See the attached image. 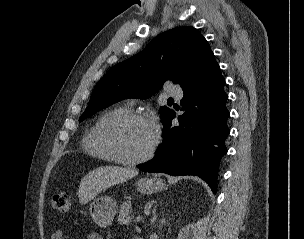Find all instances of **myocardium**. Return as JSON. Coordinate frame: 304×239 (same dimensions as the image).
I'll return each mask as SVG.
<instances>
[{"instance_id":"1","label":"myocardium","mask_w":304,"mask_h":239,"mask_svg":"<svg viewBox=\"0 0 304 239\" xmlns=\"http://www.w3.org/2000/svg\"><path fill=\"white\" fill-rule=\"evenodd\" d=\"M134 121L150 123L149 119L144 114L129 111L122 113L111 119L102 130V134H101L102 141L105 147L107 148V150L112 155L113 161L123 165H138L148 161L153 156L159 143L158 134L155 133L152 144L143 155L135 158H126L122 156L116 145V141H115L116 132L123 125Z\"/></svg>"}]
</instances>
